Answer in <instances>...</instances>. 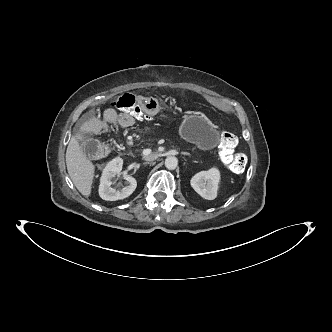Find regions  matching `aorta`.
Segmentation results:
<instances>
[{
  "mask_svg": "<svg viewBox=\"0 0 332 332\" xmlns=\"http://www.w3.org/2000/svg\"><path fill=\"white\" fill-rule=\"evenodd\" d=\"M178 165V159L174 156H169L165 159V166L169 170H174L176 169Z\"/></svg>",
  "mask_w": 332,
  "mask_h": 332,
  "instance_id": "aorta-1",
  "label": "aorta"
}]
</instances>
